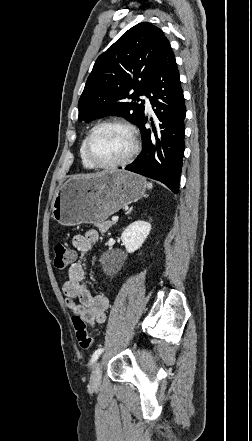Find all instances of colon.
<instances>
[{"label": "colon", "mask_w": 252, "mask_h": 441, "mask_svg": "<svg viewBox=\"0 0 252 441\" xmlns=\"http://www.w3.org/2000/svg\"><path fill=\"white\" fill-rule=\"evenodd\" d=\"M54 251V266L58 269L65 268L73 260V252L63 244H57ZM72 322L80 347L88 349L92 344V338L87 330L86 322L75 310L73 311Z\"/></svg>", "instance_id": "1"}]
</instances>
